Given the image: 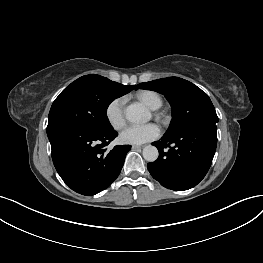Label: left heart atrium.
I'll list each match as a JSON object with an SVG mask.
<instances>
[{"label":"left heart atrium","instance_id":"obj_1","mask_svg":"<svg viewBox=\"0 0 263 263\" xmlns=\"http://www.w3.org/2000/svg\"><path fill=\"white\" fill-rule=\"evenodd\" d=\"M161 130L158 125H130L120 134V140L125 144L140 145L158 138Z\"/></svg>","mask_w":263,"mask_h":263}]
</instances>
